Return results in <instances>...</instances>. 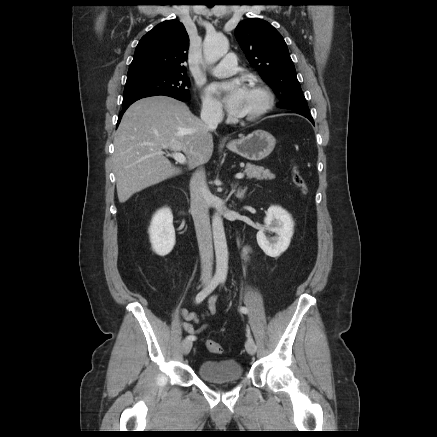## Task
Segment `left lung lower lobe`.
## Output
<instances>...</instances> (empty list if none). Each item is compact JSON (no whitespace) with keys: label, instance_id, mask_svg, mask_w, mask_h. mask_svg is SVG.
I'll list each match as a JSON object with an SVG mask.
<instances>
[{"label":"left lung lower lobe","instance_id":"1","mask_svg":"<svg viewBox=\"0 0 437 437\" xmlns=\"http://www.w3.org/2000/svg\"><path fill=\"white\" fill-rule=\"evenodd\" d=\"M292 112H294V113H299V114L305 116L306 118H308V119H309V120L314 124L313 118L311 117L310 114L302 113V112H297V111H292Z\"/></svg>","mask_w":437,"mask_h":437}]
</instances>
